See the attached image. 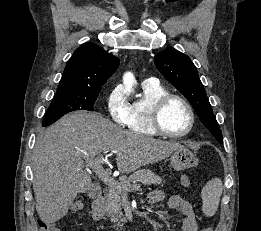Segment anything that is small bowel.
I'll return each instance as SVG.
<instances>
[{"instance_id":"small-bowel-1","label":"small bowel","mask_w":261,"mask_h":231,"mask_svg":"<svg viewBox=\"0 0 261 231\" xmlns=\"http://www.w3.org/2000/svg\"><path fill=\"white\" fill-rule=\"evenodd\" d=\"M181 185L188 188L191 184L187 175L180 178ZM164 200L162 191H154L147 196V202L155 205ZM168 207L183 215L182 231H212L211 228H200L191 203L180 195H173L168 200Z\"/></svg>"}]
</instances>
